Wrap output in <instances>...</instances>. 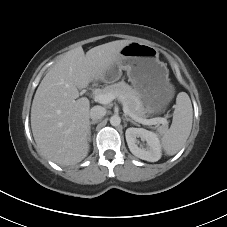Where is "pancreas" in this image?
Returning <instances> with one entry per match:
<instances>
[{
  "label": "pancreas",
  "mask_w": 227,
  "mask_h": 227,
  "mask_svg": "<svg viewBox=\"0 0 227 227\" xmlns=\"http://www.w3.org/2000/svg\"><path fill=\"white\" fill-rule=\"evenodd\" d=\"M112 94L115 98L119 99L123 104H126L130 113L140 118L146 117V108L144 107L138 92L124 81L106 86L98 90L97 94ZM167 125L159 127V131H163Z\"/></svg>",
  "instance_id": "cf45deb5"
}]
</instances>
